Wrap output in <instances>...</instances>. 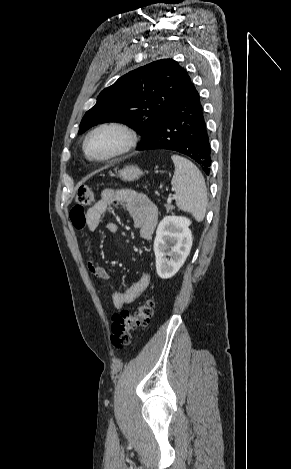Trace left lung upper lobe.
<instances>
[{
    "instance_id": "5c2ea615",
    "label": "left lung upper lobe",
    "mask_w": 291,
    "mask_h": 469,
    "mask_svg": "<svg viewBox=\"0 0 291 469\" xmlns=\"http://www.w3.org/2000/svg\"><path fill=\"white\" fill-rule=\"evenodd\" d=\"M189 84L188 73L173 59L135 69L101 91L79 133L100 123L120 122L139 131L144 142Z\"/></svg>"
}]
</instances>
